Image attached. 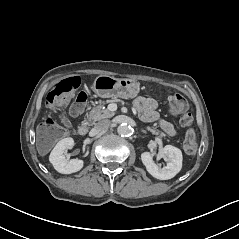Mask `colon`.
<instances>
[{
  "label": "colon",
  "instance_id": "obj_1",
  "mask_svg": "<svg viewBox=\"0 0 239 239\" xmlns=\"http://www.w3.org/2000/svg\"><path fill=\"white\" fill-rule=\"evenodd\" d=\"M81 80L79 77H69L61 80L54 85L52 90L46 97L49 107L63 105L66 100L80 86ZM87 102V94L83 91L79 92L74 104L71 106L70 114L72 116L79 115ZM169 107L173 114H180V123L186 128L185 140L183 148L189 155L195 154L197 150L196 132L193 128V116L188 111V102L181 94H174L169 99ZM64 135L63 129L52 119L47 118L41 126V136L45 142H54Z\"/></svg>",
  "mask_w": 239,
  "mask_h": 239
}]
</instances>
